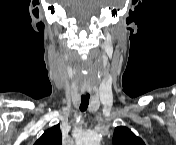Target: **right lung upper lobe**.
Segmentation results:
<instances>
[{
  "mask_svg": "<svg viewBox=\"0 0 176 145\" xmlns=\"http://www.w3.org/2000/svg\"><path fill=\"white\" fill-rule=\"evenodd\" d=\"M35 145H62L60 126L55 125L46 130L43 135L35 142Z\"/></svg>",
  "mask_w": 176,
  "mask_h": 145,
  "instance_id": "right-lung-upper-lobe-1",
  "label": "right lung upper lobe"
}]
</instances>
